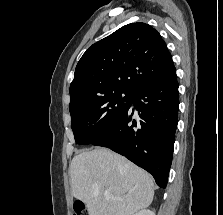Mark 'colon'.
<instances>
[{
  "label": "colon",
  "instance_id": "obj_1",
  "mask_svg": "<svg viewBox=\"0 0 223 215\" xmlns=\"http://www.w3.org/2000/svg\"><path fill=\"white\" fill-rule=\"evenodd\" d=\"M73 209H74L73 215H88L87 210L82 203L75 202Z\"/></svg>",
  "mask_w": 223,
  "mask_h": 215
}]
</instances>
